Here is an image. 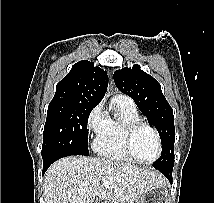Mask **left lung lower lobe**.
Instances as JSON below:
<instances>
[{
  "instance_id": "1",
  "label": "left lung lower lobe",
  "mask_w": 214,
  "mask_h": 203,
  "mask_svg": "<svg viewBox=\"0 0 214 203\" xmlns=\"http://www.w3.org/2000/svg\"><path fill=\"white\" fill-rule=\"evenodd\" d=\"M161 173H163L167 179L172 183V168H167V169H158Z\"/></svg>"
}]
</instances>
